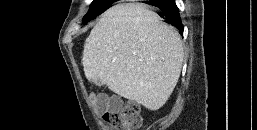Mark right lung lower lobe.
Masks as SVG:
<instances>
[{
    "mask_svg": "<svg viewBox=\"0 0 257 130\" xmlns=\"http://www.w3.org/2000/svg\"><path fill=\"white\" fill-rule=\"evenodd\" d=\"M152 6L157 7L160 10V16L165 20L166 23L176 27L183 32V25L181 23L179 10L174 0H163L148 2Z\"/></svg>",
    "mask_w": 257,
    "mask_h": 130,
    "instance_id": "obj_1",
    "label": "right lung lower lobe"
}]
</instances>
